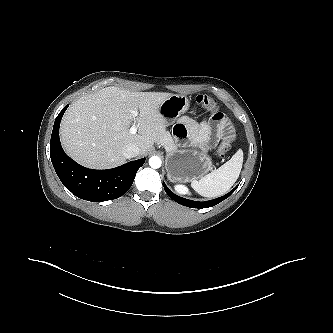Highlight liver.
<instances>
[{
	"mask_svg": "<svg viewBox=\"0 0 333 333\" xmlns=\"http://www.w3.org/2000/svg\"><path fill=\"white\" fill-rule=\"evenodd\" d=\"M171 93L134 92L106 87L71 104L60 125L62 145L78 163L105 169L123 164L122 150L135 144L145 155L167 134L160 105ZM139 110L134 116L132 111ZM135 124L138 134L129 132Z\"/></svg>",
	"mask_w": 333,
	"mask_h": 333,
	"instance_id": "liver-1",
	"label": "liver"
}]
</instances>
